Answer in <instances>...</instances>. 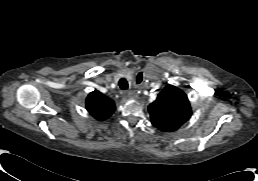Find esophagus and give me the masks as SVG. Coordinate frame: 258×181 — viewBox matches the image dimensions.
Segmentation results:
<instances>
[{
    "label": "esophagus",
    "mask_w": 258,
    "mask_h": 181,
    "mask_svg": "<svg viewBox=\"0 0 258 181\" xmlns=\"http://www.w3.org/2000/svg\"><path fill=\"white\" fill-rule=\"evenodd\" d=\"M127 95L130 96V97H133V96L136 95V92L135 91H128Z\"/></svg>",
    "instance_id": "34e87169"
}]
</instances>
